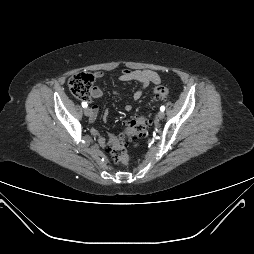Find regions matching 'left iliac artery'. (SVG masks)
<instances>
[{"mask_svg":"<svg viewBox=\"0 0 254 254\" xmlns=\"http://www.w3.org/2000/svg\"><path fill=\"white\" fill-rule=\"evenodd\" d=\"M160 110H161V111H164V110H165V106L162 105V106L160 107Z\"/></svg>","mask_w":254,"mask_h":254,"instance_id":"left-iliac-artery-1","label":"left iliac artery"}]
</instances>
